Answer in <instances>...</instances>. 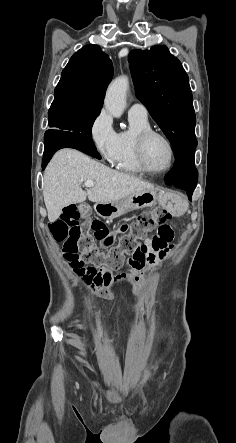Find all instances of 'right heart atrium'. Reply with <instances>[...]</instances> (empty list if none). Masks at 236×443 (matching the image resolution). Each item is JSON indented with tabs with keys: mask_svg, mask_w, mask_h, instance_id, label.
I'll return each mask as SVG.
<instances>
[{
	"mask_svg": "<svg viewBox=\"0 0 236 443\" xmlns=\"http://www.w3.org/2000/svg\"><path fill=\"white\" fill-rule=\"evenodd\" d=\"M88 136L96 152L108 163H113L118 154V134L112 119L105 109H101L92 119Z\"/></svg>",
	"mask_w": 236,
	"mask_h": 443,
	"instance_id": "1",
	"label": "right heart atrium"
}]
</instances>
